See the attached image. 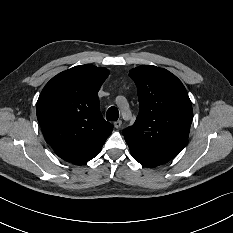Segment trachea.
<instances>
[{"label": "trachea", "instance_id": "3493384b", "mask_svg": "<svg viewBox=\"0 0 233 233\" xmlns=\"http://www.w3.org/2000/svg\"><path fill=\"white\" fill-rule=\"evenodd\" d=\"M119 117V111L116 107H110L106 112V118L108 121H117Z\"/></svg>", "mask_w": 233, "mask_h": 233}]
</instances>
